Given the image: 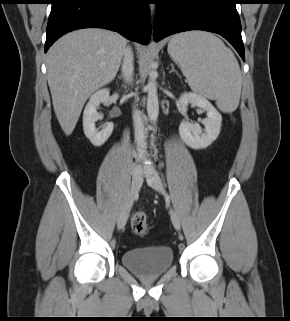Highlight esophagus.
<instances>
[{
	"mask_svg": "<svg viewBox=\"0 0 290 321\" xmlns=\"http://www.w3.org/2000/svg\"><path fill=\"white\" fill-rule=\"evenodd\" d=\"M154 9H155V6H154V5H150L151 15H153V13H154Z\"/></svg>",
	"mask_w": 290,
	"mask_h": 321,
	"instance_id": "esophagus-1",
	"label": "esophagus"
}]
</instances>
